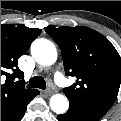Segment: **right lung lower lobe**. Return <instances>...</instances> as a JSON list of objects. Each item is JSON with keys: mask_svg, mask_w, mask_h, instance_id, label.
Masks as SVG:
<instances>
[{"mask_svg": "<svg viewBox=\"0 0 121 121\" xmlns=\"http://www.w3.org/2000/svg\"><path fill=\"white\" fill-rule=\"evenodd\" d=\"M39 94V91H34L28 98L23 100L18 107H16L11 113H9L6 117L1 119V121H20L21 118L24 116L25 111L27 109V105L30 101Z\"/></svg>", "mask_w": 121, "mask_h": 121, "instance_id": "right-lung-lower-lobe-1", "label": "right lung lower lobe"}]
</instances>
